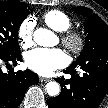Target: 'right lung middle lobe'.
Instances as JSON below:
<instances>
[{
    "instance_id": "1",
    "label": "right lung middle lobe",
    "mask_w": 108,
    "mask_h": 108,
    "mask_svg": "<svg viewBox=\"0 0 108 108\" xmlns=\"http://www.w3.org/2000/svg\"><path fill=\"white\" fill-rule=\"evenodd\" d=\"M28 14L26 3L0 2V56L12 57L20 53L18 30Z\"/></svg>"
}]
</instances>
